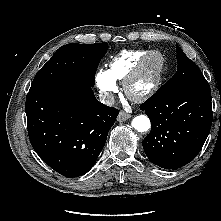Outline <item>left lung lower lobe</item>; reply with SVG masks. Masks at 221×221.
<instances>
[{
	"instance_id": "1",
	"label": "left lung lower lobe",
	"mask_w": 221,
	"mask_h": 221,
	"mask_svg": "<svg viewBox=\"0 0 221 221\" xmlns=\"http://www.w3.org/2000/svg\"><path fill=\"white\" fill-rule=\"evenodd\" d=\"M140 109L151 121L143 149L153 164L175 170L200 152L212 124L210 89L157 91Z\"/></svg>"
}]
</instances>
